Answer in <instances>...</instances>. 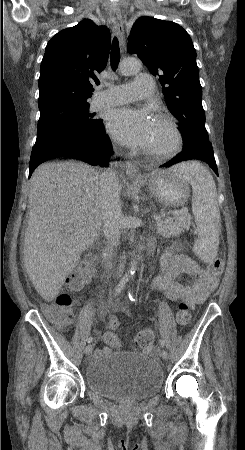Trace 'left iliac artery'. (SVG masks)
Instances as JSON below:
<instances>
[{"label":"left iliac artery","mask_w":245,"mask_h":450,"mask_svg":"<svg viewBox=\"0 0 245 450\" xmlns=\"http://www.w3.org/2000/svg\"><path fill=\"white\" fill-rule=\"evenodd\" d=\"M128 297H129V299H130L132 302H136V299H135L134 294H133V289H129V291H128ZM159 343H160V345H161L162 347H164V341H163V339H160V340H159Z\"/></svg>","instance_id":"1"}]
</instances>
